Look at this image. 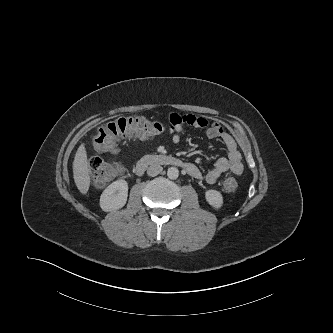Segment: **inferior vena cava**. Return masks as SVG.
Listing matches in <instances>:
<instances>
[{
	"label": "inferior vena cava",
	"instance_id": "inferior-vena-cava-1",
	"mask_svg": "<svg viewBox=\"0 0 333 333\" xmlns=\"http://www.w3.org/2000/svg\"><path fill=\"white\" fill-rule=\"evenodd\" d=\"M163 170L162 166L159 164H152L147 169L148 176L154 177L161 173Z\"/></svg>",
	"mask_w": 333,
	"mask_h": 333
}]
</instances>
